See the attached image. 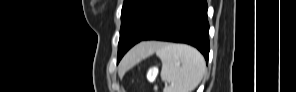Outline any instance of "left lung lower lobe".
I'll list each match as a JSON object with an SVG mask.
<instances>
[{
  "label": "left lung lower lobe",
  "mask_w": 296,
  "mask_h": 92,
  "mask_svg": "<svg viewBox=\"0 0 296 92\" xmlns=\"http://www.w3.org/2000/svg\"><path fill=\"white\" fill-rule=\"evenodd\" d=\"M143 40L187 43L208 60L209 23L206 0H170L155 28Z\"/></svg>",
  "instance_id": "left-lung-lower-lobe-1"
}]
</instances>
